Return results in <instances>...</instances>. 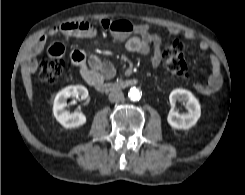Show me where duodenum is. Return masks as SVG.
Returning a JSON list of instances; mask_svg holds the SVG:
<instances>
[{
  "mask_svg": "<svg viewBox=\"0 0 245 195\" xmlns=\"http://www.w3.org/2000/svg\"><path fill=\"white\" fill-rule=\"evenodd\" d=\"M136 84V80L128 79L120 82L97 83L95 87L100 91H115L121 90Z\"/></svg>",
  "mask_w": 245,
  "mask_h": 195,
  "instance_id": "410a0bca",
  "label": "duodenum"
}]
</instances>
